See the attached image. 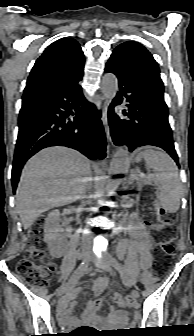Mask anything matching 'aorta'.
<instances>
[{
  "label": "aorta",
  "mask_w": 194,
  "mask_h": 336,
  "mask_svg": "<svg viewBox=\"0 0 194 336\" xmlns=\"http://www.w3.org/2000/svg\"><path fill=\"white\" fill-rule=\"evenodd\" d=\"M103 95L112 100L118 91V81L114 74H105L101 82ZM128 169V150L126 147H120L108 168V178L106 182V191L109 195H114L120 185L119 175H123Z\"/></svg>",
  "instance_id": "aorta-1"
}]
</instances>
